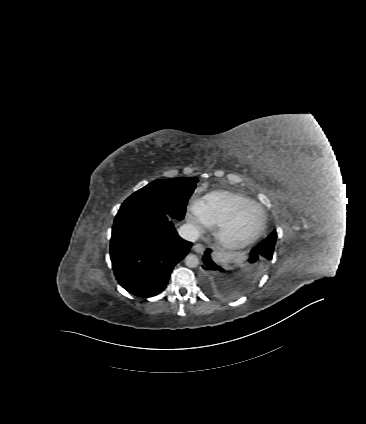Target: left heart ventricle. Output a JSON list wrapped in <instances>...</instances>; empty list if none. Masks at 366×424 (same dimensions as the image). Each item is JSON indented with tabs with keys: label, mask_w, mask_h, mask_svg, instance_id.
<instances>
[{
	"label": "left heart ventricle",
	"mask_w": 366,
	"mask_h": 424,
	"mask_svg": "<svg viewBox=\"0 0 366 424\" xmlns=\"http://www.w3.org/2000/svg\"><path fill=\"white\" fill-rule=\"evenodd\" d=\"M260 223V213L256 208H249L240 216L230 236L235 239H244L255 233Z\"/></svg>",
	"instance_id": "b2bd125f"
}]
</instances>
